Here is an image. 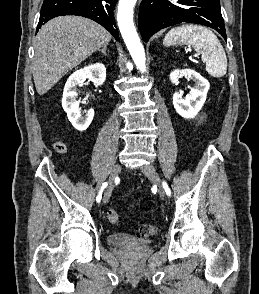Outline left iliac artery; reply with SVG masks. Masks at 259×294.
Wrapping results in <instances>:
<instances>
[{
	"label": "left iliac artery",
	"mask_w": 259,
	"mask_h": 294,
	"mask_svg": "<svg viewBox=\"0 0 259 294\" xmlns=\"http://www.w3.org/2000/svg\"><path fill=\"white\" fill-rule=\"evenodd\" d=\"M163 187H164V190H165L166 194H167L168 196H170L171 191H170V188L168 187V185H167L166 182H163Z\"/></svg>",
	"instance_id": "obj_1"
}]
</instances>
